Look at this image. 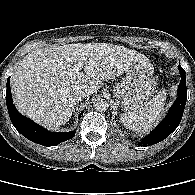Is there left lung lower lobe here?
Returning a JSON list of instances; mask_svg holds the SVG:
<instances>
[{
	"mask_svg": "<svg viewBox=\"0 0 195 195\" xmlns=\"http://www.w3.org/2000/svg\"><path fill=\"white\" fill-rule=\"evenodd\" d=\"M178 69L181 74V81L178 86L177 98L165 118L147 137L142 140L141 144L143 145H153L163 141L181 122L187 99V88L185 71L180 65L178 66Z\"/></svg>",
	"mask_w": 195,
	"mask_h": 195,
	"instance_id": "1",
	"label": "left lung lower lobe"
}]
</instances>
